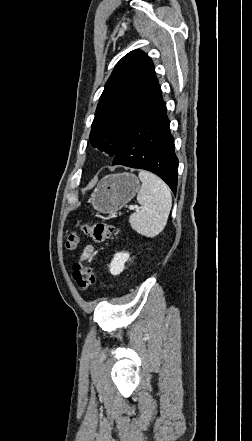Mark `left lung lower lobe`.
<instances>
[{
	"instance_id": "left-lung-lower-lobe-1",
	"label": "left lung lower lobe",
	"mask_w": 252,
	"mask_h": 441,
	"mask_svg": "<svg viewBox=\"0 0 252 441\" xmlns=\"http://www.w3.org/2000/svg\"><path fill=\"white\" fill-rule=\"evenodd\" d=\"M166 112V104L156 78L143 108L133 120L112 163L153 172L162 178L175 194L178 159Z\"/></svg>"
}]
</instances>
